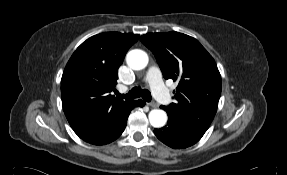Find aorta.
<instances>
[{"label":"aorta","mask_w":287,"mask_h":175,"mask_svg":"<svg viewBox=\"0 0 287 175\" xmlns=\"http://www.w3.org/2000/svg\"><path fill=\"white\" fill-rule=\"evenodd\" d=\"M127 65L133 70H142L148 64V55L140 49L131 50L126 56ZM149 122L155 128L163 127L167 122V114L161 109H153L149 113Z\"/></svg>","instance_id":"obj_1"}]
</instances>
